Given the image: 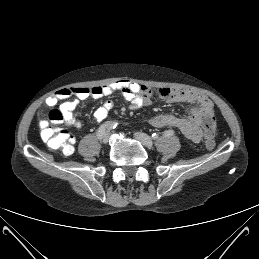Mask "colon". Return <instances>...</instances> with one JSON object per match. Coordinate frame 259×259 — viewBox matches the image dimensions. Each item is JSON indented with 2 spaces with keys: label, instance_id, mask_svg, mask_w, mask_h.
<instances>
[{
  "label": "colon",
  "instance_id": "1",
  "mask_svg": "<svg viewBox=\"0 0 259 259\" xmlns=\"http://www.w3.org/2000/svg\"><path fill=\"white\" fill-rule=\"evenodd\" d=\"M65 117L60 109L51 110L40 122L41 136L45 142L53 149H59L64 154L69 155L74 150V138L63 127ZM205 131V145L211 149L214 146V136L216 131L215 118L207 117L203 121Z\"/></svg>",
  "mask_w": 259,
  "mask_h": 259
}]
</instances>
